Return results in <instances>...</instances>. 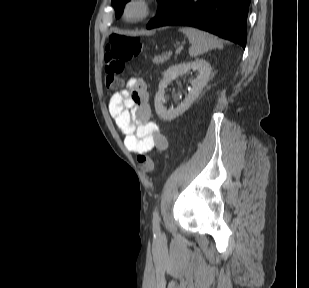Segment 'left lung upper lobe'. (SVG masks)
<instances>
[{"mask_svg":"<svg viewBox=\"0 0 309 288\" xmlns=\"http://www.w3.org/2000/svg\"><path fill=\"white\" fill-rule=\"evenodd\" d=\"M130 0H112V6L114 7L116 11V17L118 18L124 8V5ZM173 0H158L159 6H158V12H162Z\"/></svg>","mask_w":309,"mask_h":288,"instance_id":"left-lung-upper-lobe-1","label":"left lung upper lobe"}]
</instances>
